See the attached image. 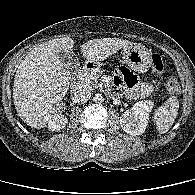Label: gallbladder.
I'll use <instances>...</instances> for the list:
<instances>
[{"mask_svg": "<svg viewBox=\"0 0 195 195\" xmlns=\"http://www.w3.org/2000/svg\"><path fill=\"white\" fill-rule=\"evenodd\" d=\"M61 63L64 68L70 73L74 74V72L79 70L80 62L73 51L69 52H60L58 54Z\"/></svg>", "mask_w": 195, "mask_h": 195, "instance_id": "gallbladder-1", "label": "gallbladder"}]
</instances>
